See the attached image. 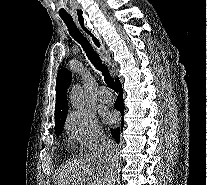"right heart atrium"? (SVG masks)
I'll return each instance as SVG.
<instances>
[{
	"mask_svg": "<svg viewBox=\"0 0 207 185\" xmlns=\"http://www.w3.org/2000/svg\"><path fill=\"white\" fill-rule=\"evenodd\" d=\"M65 128L69 137L86 151L97 149L105 138L95 114L86 109H75L68 113Z\"/></svg>",
	"mask_w": 207,
	"mask_h": 185,
	"instance_id": "d8ad5b80",
	"label": "right heart atrium"
}]
</instances>
